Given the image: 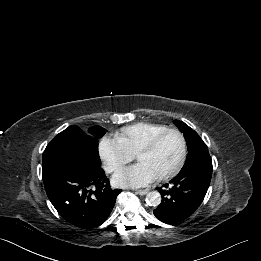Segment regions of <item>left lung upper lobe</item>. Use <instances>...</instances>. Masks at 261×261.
Wrapping results in <instances>:
<instances>
[{
	"label": "left lung upper lobe",
	"mask_w": 261,
	"mask_h": 261,
	"mask_svg": "<svg viewBox=\"0 0 261 261\" xmlns=\"http://www.w3.org/2000/svg\"><path fill=\"white\" fill-rule=\"evenodd\" d=\"M174 123L178 126L179 130L183 132L187 148H188V155L185 162V166H188L194 157H196L198 154L207 151L208 148L206 144L203 142V140L199 137V135L191 129L187 124H185L182 121L175 120Z\"/></svg>",
	"instance_id": "1"
}]
</instances>
